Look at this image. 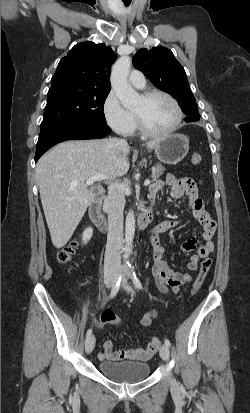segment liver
<instances>
[{"label":"liver","instance_id":"6515ba94","mask_svg":"<svg viewBox=\"0 0 250 413\" xmlns=\"http://www.w3.org/2000/svg\"><path fill=\"white\" fill-rule=\"evenodd\" d=\"M157 141L146 144L154 149ZM127 142L117 138L59 143L36 165L40 198L51 240L62 248L72 237L88 206L96 197L86 180L96 175L121 177L129 170Z\"/></svg>","mask_w":250,"mask_h":413}]
</instances>
